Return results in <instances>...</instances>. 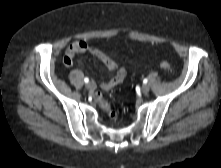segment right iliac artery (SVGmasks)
<instances>
[{
    "label": "right iliac artery",
    "mask_w": 221,
    "mask_h": 168,
    "mask_svg": "<svg viewBox=\"0 0 221 168\" xmlns=\"http://www.w3.org/2000/svg\"><path fill=\"white\" fill-rule=\"evenodd\" d=\"M84 82L85 83H88L89 82V79L86 77V78H84Z\"/></svg>",
    "instance_id": "obj_1"
}]
</instances>
